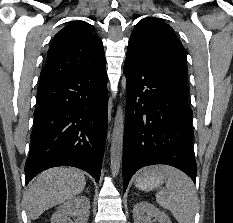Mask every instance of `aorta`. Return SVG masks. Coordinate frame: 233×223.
Returning <instances> with one entry per match:
<instances>
[{
    "mask_svg": "<svg viewBox=\"0 0 233 223\" xmlns=\"http://www.w3.org/2000/svg\"><path fill=\"white\" fill-rule=\"evenodd\" d=\"M124 113L122 106H118L115 115L110 147V167L113 177L119 173L123 149Z\"/></svg>",
    "mask_w": 233,
    "mask_h": 223,
    "instance_id": "1",
    "label": "aorta"
}]
</instances>
